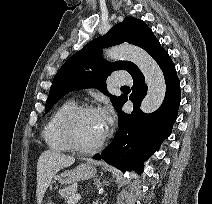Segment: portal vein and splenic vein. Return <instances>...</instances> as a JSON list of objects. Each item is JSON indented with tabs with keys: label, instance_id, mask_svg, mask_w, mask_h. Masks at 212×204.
Here are the masks:
<instances>
[{
	"label": "portal vein and splenic vein",
	"instance_id": "obj_1",
	"mask_svg": "<svg viewBox=\"0 0 212 204\" xmlns=\"http://www.w3.org/2000/svg\"><path fill=\"white\" fill-rule=\"evenodd\" d=\"M81 196L79 194L73 195L68 201V204H75L80 200Z\"/></svg>",
	"mask_w": 212,
	"mask_h": 204
}]
</instances>
